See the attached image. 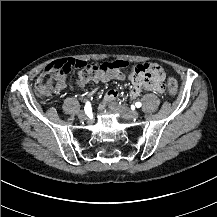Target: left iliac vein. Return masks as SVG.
<instances>
[{
    "label": "left iliac vein",
    "mask_w": 217,
    "mask_h": 217,
    "mask_svg": "<svg viewBox=\"0 0 217 217\" xmlns=\"http://www.w3.org/2000/svg\"><path fill=\"white\" fill-rule=\"evenodd\" d=\"M109 108L116 113H120L122 117L126 120H130L134 118L136 119L140 115L139 112L135 110H131L125 106L118 105L116 102L110 103Z\"/></svg>",
    "instance_id": "1"
}]
</instances>
